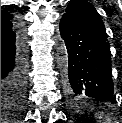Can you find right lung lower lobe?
<instances>
[{"instance_id": "1", "label": "right lung lower lobe", "mask_w": 122, "mask_h": 123, "mask_svg": "<svg viewBox=\"0 0 122 123\" xmlns=\"http://www.w3.org/2000/svg\"><path fill=\"white\" fill-rule=\"evenodd\" d=\"M26 44L13 21L1 23V97L22 98L27 81ZM3 99V98H2Z\"/></svg>"}]
</instances>
